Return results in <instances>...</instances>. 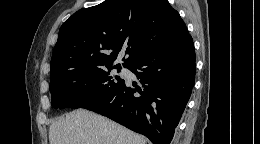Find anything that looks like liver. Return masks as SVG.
Here are the masks:
<instances>
[{
    "instance_id": "1",
    "label": "liver",
    "mask_w": 260,
    "mask_h": 144,
    "mask_svg": "<svg viewBox=\"0 0 260 144\" xmlns=\"http://www.w3.org/2000/svg\"><path fill=\"white\" fill-rule=\"evenodd\" d=\"M50 144H146L141 135L95 113L79 109L49 128Z\"/></svg>"
}]
</instances>
